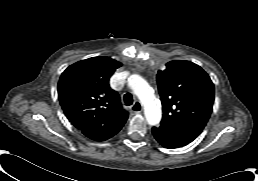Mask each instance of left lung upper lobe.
I'll use <instances>...</instances> for the list:
<instances>
[{"instance_id": "1", "label": "left lung upper lobe", "mask_w": 258, "mask_h": 181, "mask_svg": "<svg viewBox=\"0 0 258 181\" xmlns=\"http://www.w3.org/2000/svg\"><path fill=\"white\" fill-rule=\"evenodd\" d=\"M163 105L161 125L198 136L212 112L214 85L198 65L182 60L166 64L157 75Z\"/></svg>"}]
</instances>
